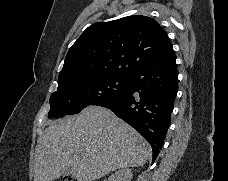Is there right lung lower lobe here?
Here are the masks:
<instances>
[{"label":"right lung lower lobe","instance_id":"right-lung-lower-lobe-1","mask_svg":"<svg viewBox=\"0 0 228 181\" xmlns=\"http://www.w3.org/2000/svg\"><path fill=\"white\" fill-rule=\"evenodd\" d=\"M177 81L176 58L172 50L137 70L129 78L123 95L102 106L146 138L153 148V160L159 154L170 126Z\"/></svg>","mask_w":228,"mask_h":181}]
</instances>
